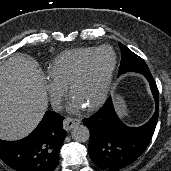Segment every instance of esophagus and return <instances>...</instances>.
<instances>
[{
    "mask_svg": "<svg viewBox=\"0 0 171 171\" xmlns=\"http://www.w3.org/2000/svg\"><path fill=\"white\" fill-rule=\"evenodd\" d=\"M80 123L79 119L67 117L63 121V128L66 131H70L74 126L78 125Z\"/></svg>",
    "mask_w": 171,
    "mask_h": 171,
    "instance_id": "obj_1",
    "label": "esophagus"
}]
</instances>
